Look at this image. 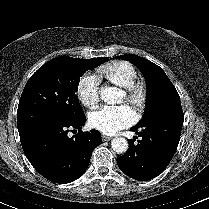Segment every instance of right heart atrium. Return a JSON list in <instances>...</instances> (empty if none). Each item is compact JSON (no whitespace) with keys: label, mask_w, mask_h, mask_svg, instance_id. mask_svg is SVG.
Here are the masks:
<instances>
[{"label":"right heart atrium","mask_w":209,"mask_h":209,"mask_svg":"<svg viewBox=\"0 0 209 209\" xmlns=\"http://www.w3.org/2000/svg\"><path fill=\"white\" fill-rule=\"evenodd\" d=\"M100 79L96 74L87 73L77 85V95L80 102L91 108L99 101Z\"/></svg>","instance_id":"d8ad5b80"}]
</instances>
